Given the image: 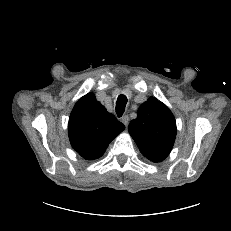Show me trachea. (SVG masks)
<instances>
[{
  "instance_id": "1",
  "label": "trachea",
  "mask_w": 231,
  "mask_h": 231,
  "mask_svg": "<svg viewBox=\"0 0 231 231\" xmlns=\"http://www.w3.org/2000/svg\"><path fill=\"white\" fill-rule=\"evenodd\" d=\"M127 104V97L123 94L119 95L116 101V113L118 117H121L125 111Z\"/></svg>"
}]
</instances>
